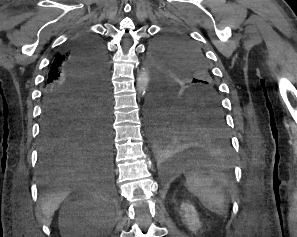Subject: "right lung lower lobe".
Returning <instances> with one entry per match:
<instances>
[{"mask_svg":"<svg viewBox=\"0 0 297 237\" xmlns=\"http://www.w3.org/2000/svg\"><path fill=\"white\" fill-rule=\"evenodd\" d=\"M69 81L46 87L40 124L39 169L46 177L109 173L112 168L108 60L87 32L69 43Z\"/></svg>","mask_w":297,"mask_h":237,"instance_id":"1","label":"right lung lower lobe"}]
</instances>
